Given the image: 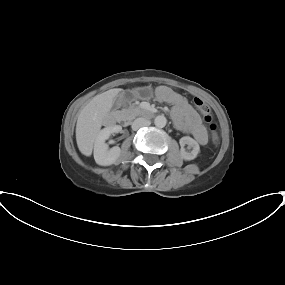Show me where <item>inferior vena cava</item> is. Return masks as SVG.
<instances>
[{
  "label": "inferior vena cava",
  "mask_w": 285,
  "mask_h": 285,
  "mask_svg": "<svg viewBox=\"0 0 285 285\" xmlns=\"http://www.w3.org/2000/svg\"><path fill=\"white\" fill-rule=\"evenodd\" d=\"M151 122L145 118H137L132 123V129L138 130L141 127L149 126Z\"/></svg>",
  "instance_id": "obj_1"
}]
</instances>
